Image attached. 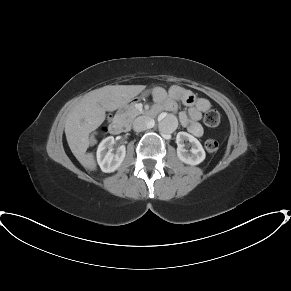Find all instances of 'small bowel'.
Segmentation results:
<instances>
[{
	"mask_svg": "<svg viewBox=\"0 0 291 291\" xmlns=\"http://www.w3.org/2000/svg\"><path fill=\"white\" fill-rule=\"evenodd\" d=\"M152 96L155 101L156 113L163 110L175 112L178 108V102L189 106L188 114L180 113V122L193 136L201 137L203 135L200 120L202 113L211 107L209 100L197 97L192 91L177 85L171 87L168 92L161 87H155Z\"/></svg>",
	"mask_w": 291,
	"mask_h": 291,
	"instance_id": "obj_1",
	"label": "small bowel"
}]
</instances>
